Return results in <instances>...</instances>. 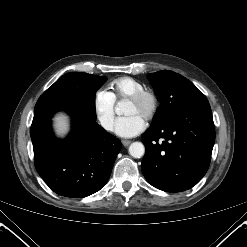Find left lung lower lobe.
<instances>
[{
	"instance_id": "0a47b994",
	"label": "left lung lower lobe",
	"mask_w": 247,
	"mask_h": 247,
	"mask_svg": "<svg viewBox=\"0 0 247 247\" xmlns=\"http://www.w3.org/2000/svg\"><path fill=\"white\" fill-rule=\"evenodd\" d=\"M146 153L141 169L146 180L166 192L192 188L208 170L215 141L209 103L150 126L142 135Z\"/></svg>"
}]
</instances>
